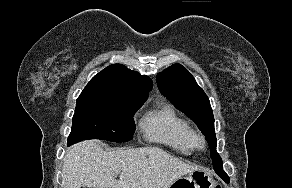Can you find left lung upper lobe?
<instances>
[{
	"label": "left lung upper lobe",
	"mask_w": 292,
	"mask_h": 188,
	"mask_svg": "<svg viewBox=\"0 0 292 188\" xmlns=\"http://www.w3.org/2000/svg\"><path fill=\"white\" fill-rule=\"evenodd\" d=\"M157 85L176 108L197 124L209 144L213 167L220 168L222 159L216 152L213 111L207 95L194 77L181 64H174L157 75Z\"/></svg>",
	"instance_id": "1"
}]
</instances>
